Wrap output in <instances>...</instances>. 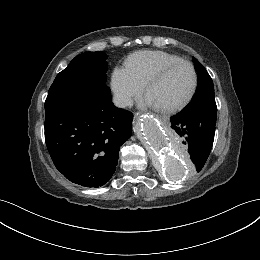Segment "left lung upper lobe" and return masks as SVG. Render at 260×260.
I'll return each instance as SVG.
<instances>
[{
	"mask_svg": "<svg viewBox=\"0 0 260 260\" xmlns=\"http://www.w3.org/2000/svg\"><path fill=\"white\" fill-rule=\"evenodd\" d=\"M194 60L199 84L192 102L185 109H193L203 105L216 107L213 81L204 66L197 59Z\"/></svg>",
	"mask_w": 260,
	"mask_h": 260,
	"instance_id": "5c2ea615",
	"label": "left lung upper lobe"
}]
</instances>
